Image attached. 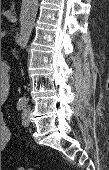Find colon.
<instances>
[{
  "label": "colon",
  "mask_w": 109,
  "mask_h": 170,
  "mask_svg": "<svg viewBox=\"0 0 109 170\" xmlns=\"http://www.w3.org/2000/svg\"><path fill=\"white\" fill-rule=\"evenodd\" d=\"M15 170H35V169L18 167V168H16Z\"/></svg>",
  "instance_id": "colon-1"
}]
</instances>
